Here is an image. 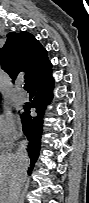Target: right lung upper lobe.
Returning a JSON list of instances; mask_svg holds the SVG:
<instances>
[{"mask_svg": "<svg viewBox=\"0 0 89 203\" xmlns=\"http://www.w3.org/2000/svg\"><path fill=\"white\" fill-rule=\"evenodd\" d=\"M1 68L11 78L16 79L21 71H25L28 86L44 72L52 68L48 61L47 51L35 37L28 32L7 35L5 45L0 49Z\"/></svg>", "mask_w": 89, "mask_h": 203, "instance_id": "cb5924a9", "label": "right lung upper lobe"}]
</instances>
